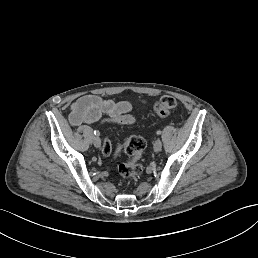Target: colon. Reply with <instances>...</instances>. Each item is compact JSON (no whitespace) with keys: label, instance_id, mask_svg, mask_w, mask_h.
<instances>
[{"label":"colon","instance_id":"colon-1","mask_svg":"<svg viewBox=\"0 0 258 258\" xmlns=\"http://www.w3.org/2000/svg\"><path fill=\"white\" fill-rule=\"evenodd\" d=\"M176 100L169 95L161 97L154 104V112L161 118L167 117L176 107ZM146 142L139 135H132L123 144L114 147L110 140L105 139L102 146V153L105 156H118L122 151L128 156V160L121 163L118 172L121 177L133 179L139 177L143 172L141 163L142 152L145 149Z\"/></svg>","mask_w":258,"mask_h":258}]
</instances>
